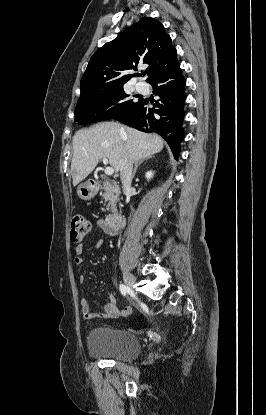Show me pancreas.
<instances>
[{
    "label": "pancreas",
    "instance_id": "pancreas-1",
    "mask_svg": "<svg viewBox=\"0 0 266 415\" xmlns=\"http://www.w3.org/2000/svg\"><path fill=\"white\" fill-rule=\"evenodd\" d=\"M102 197L107 202V210L111 213H116V203L119 197V189L117 186L112 185L109 181L103 182Z\"/></svg>",
    "mask_w": 266,
    "mask_h": 415
}]
</instances>
